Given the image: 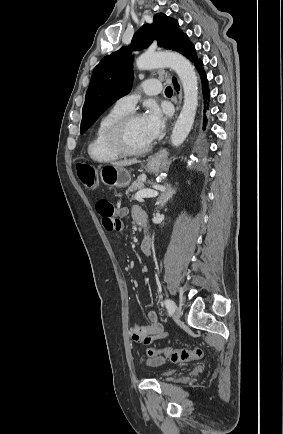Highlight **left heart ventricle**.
Listing matches in <instances>:
<instances>
[{"mask_svg":"<svg viewBox=\"0 0 283 434\" xmlns=\"http://www.w3.org/2000/svg\"><path fill=\"white\" fill-rule=\"evenodd\" d=\"M127 140L134 148H140L150 143L149 139L144 133L141 117L135 119L129 125L127 129Z\"/></svg>","mask_w":283,"mask_h":434,"instance_id":"1","label":"left heart ventricle"}]
</instances>
